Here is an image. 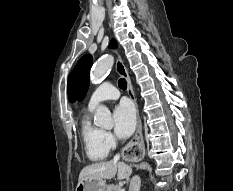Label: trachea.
I'll return each instance as SVG.
<instances>
[{"label":"trachea","instance_id":"1","mask_svg":"<svg viewBox=\"0 0 233 191\" xmlns=\"http://www.w3.org/2000/svg\"><path fill=\"white\" fill-rule=\"evenodd\" d=\"M118 85L121 89L125 90L127 88V82L124 78H121L118 82Z\"/></svg>","mask_w":233,"mask_h":191}]
</instances>
